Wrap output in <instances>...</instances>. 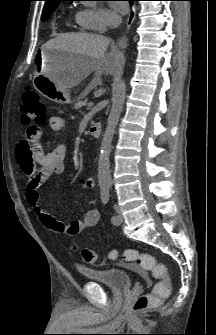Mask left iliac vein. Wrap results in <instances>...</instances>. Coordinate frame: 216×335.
Returning <instances> with one entry per match:
<instances>
[{
	"instance_id": "left-iliac-vein-1",
	"label": "left iliac vein",
	"mask_w": 216,
	"mask_h": 335,
	"mask_svg": "<svg viewBox=\"0 0 216 335\" xmlns=\"http://www.w3.org/2000/svg\"><path fill=\"white\" fill-rule=\"evenodd\" d=\"M115 210H116L117 218H118V219H117V221H116L114 224H116V225H120L121 223H123L124 218H123V216H122V214H121V212H120L119 207L116 206V205H115Z\"/></svg>"
}]
</instances>
